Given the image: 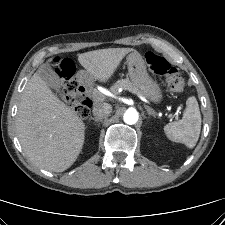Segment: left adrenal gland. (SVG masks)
<instances>
[{
	"label": "left adrenal gland",
	"instance_id": "left-adrenal-gland-1",
	"mask_svg": "<svg viewBox=\"0 0 225 225\" xmlns=\"http://www.w3.org/2000/svg\"><path fill=\"white\" fill-rule=\"evenodd\" d=\"M144 107H145V109L147 110V112H148V114L150 116H153V117H156L157 116V114L155 113V111L153 109H151L149 106L145 105Z\"/></svg>",
	"mask_w": 225,
	"mask_h": 225
}]
</instances>
